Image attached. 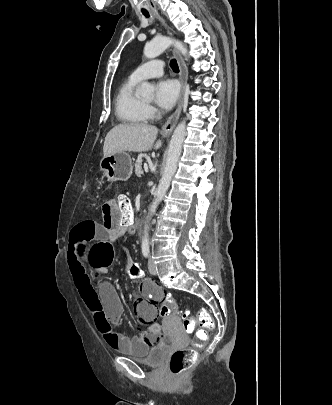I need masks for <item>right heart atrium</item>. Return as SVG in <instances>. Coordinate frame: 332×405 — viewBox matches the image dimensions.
<instances>
[{
  "label": "right heart atrium",
  "instance_id": "d8ad5b80",
  "mask_svg": "<svg viewBox=\"0 0 332 405\" xmlns=\"http://www.w3.org/2000/svg\"><path fill=\"white\" fill-rule=\"evenodd\" d=\"M148 113L149 115H153L155 113V110L153 107L148 106Z\"/></svg>",
  "mask_w": 332,
  "mask_h": 405
}]
</instances>
